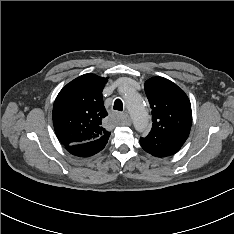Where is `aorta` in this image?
I'll return each mask as SVG.
<instances>
[{
	"mask_svg": "<svg viewBox=\"0 0 234 234\" xmlns=\"http://www.w3.org/2000/svg\"><path fill=\"white\" fill-rule=\"evenodd\" d=\"M124 100L132 117L135 129L138 132H146L149 124V115L141 95L128 88L124 93Z\"/></svg>",
	"mask_w": 234,
	"mask_h": 234,
	"instance_id": "1",
	"label": "aorta"
}]
</instances>
